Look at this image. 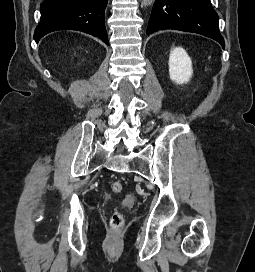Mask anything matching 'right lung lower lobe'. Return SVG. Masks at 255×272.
I'll use <instances>...</instances> for the list:
<instances>
[{
	"label": "right lung lower lobe",
	"mask_w": 255,
	"mask_h": 272,
	"mask_svg": "<svg viewBox=\"0 0 255 272\" xmlns=\"http://www.w3.org/2000/svg\"><path fill=\"white\" fill-rule=\"evenodd\" d=\"M107 1L44 0L40 23L34 32L35 41L56 30H79L97 36L109 45L104 24Z\"/></svg>",
	"instance_id": "1"
}]
</instances>
